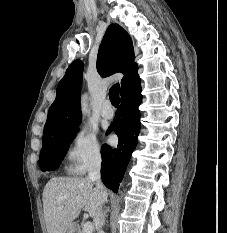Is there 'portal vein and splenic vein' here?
<instances>
[{"label": "portal vein and splenic vein", "mask_w": 227, "mask_h": 233, "mask_svg": "<svg viewBox=\"0 0 227 233\" xmlns=\"http://www.w3.org/2000/svg\"><path fill=\"white\" fill-rule=\"evenodd\" d=\"M93 231V224L91 222H86L83 227V233H92Z\"/></svg>", "instance_id": "portal-vein-and-splenic-vein-1"}]
</instances>
